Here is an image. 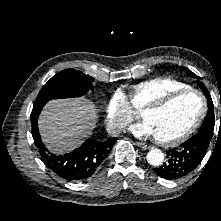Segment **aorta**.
<instances>
[{
    "mask_svg": "<svg viewBox=\"0 0 221 221\" xmlns=\"http://www.w3.org/2000/svg\"><path fill=\"white\" fill-rule=\"evenodd\" d=\"M147 161L152 166H159L163 163L164 154L160 149L154 148L147 153Z\"/></svg>",
    "mask_w": 221,
    "mask_h": 221,
    "instance_id": "1",
    "label": "aorta"
}]
</instances>
